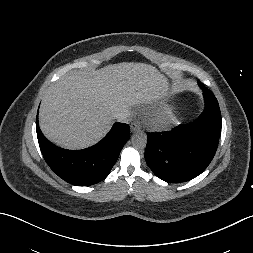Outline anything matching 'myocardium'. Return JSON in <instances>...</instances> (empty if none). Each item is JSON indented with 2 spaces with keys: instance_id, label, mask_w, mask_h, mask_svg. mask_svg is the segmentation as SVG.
<instances>
[{
  "instance_id": "myocardium-1",
  "label": "myocardium",
  "mask_w": 253,
  "mask_h": 253,
  "mask_svg": "<svg viewBox=\"0 0 253 253\" xmlns=\"http://www.w3.org/2000/svg\"><path fill=\"white\" fill-rule=\"evenodd\" d=\"M171 118L172 116L170 112L161 111L154 116L152 126L158 129L165 128L169 125Z\"/></svg>"
}]
</instances>
